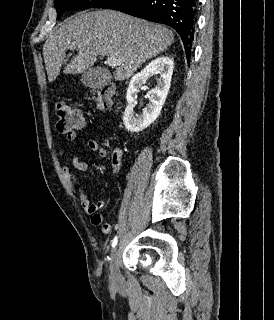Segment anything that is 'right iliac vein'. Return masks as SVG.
Instances as JSON below:
<instances>
[{
  "instance_id": "63e3f726",
  "label": "right iliac vein",
  "mask_w": 274,
  "mask_h": 320,
  "mask_svg": "<svg viewBox=\"0 0 274 320\" xmlns=\"http://www.w3.org/2000/svg\"><path fill=\"white\" fill-rule=\"evenodd\" d=\"M120 251L118 247L114 248V251L110 259V278L114 287L119 288L123 284L122 275L120 272Z\"/></svg>"
}]
</instances>
